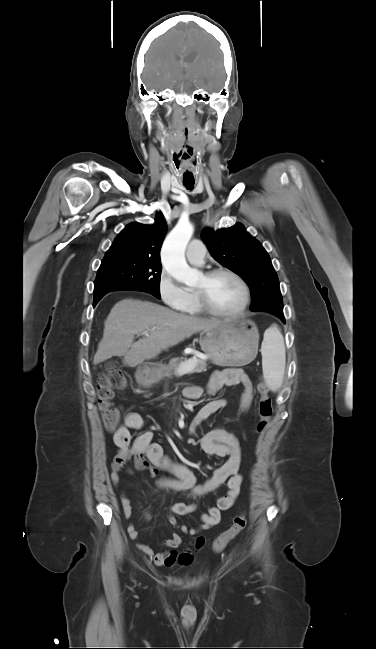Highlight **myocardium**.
Instances as JSON below:
<instances>
[{
	"label": "myocardium",
	"mask_w": 376,
	"mask_h": 649,
	"mask_svg": "<svg viewBox=\"0 0 376 649\" xmlns=\"http://www.w3.org/2000/svg\"><path fill=\"white\" fill-rule=\"evenodd\" d=\"M219 274L230 275L231 277H233L239 283V285L241 286L242 292H243V300H242L241 305L236 310L231 311V312H225V311L218 310V309H216L215 307H213L211 305V303L209 302V300L207 298L206 292H205V290L203 288L195 289V294H196V297L198 299V302H199L201 308L208 314H211V315L217 316V317H222V318H237V317L241 316L245 312V310L247 309V307L249 305V301H250V289H249V286H248L247 282L243 279V277L240 274H238L234 270H232L230 268H226V267H218V268L208 270L203 274V277L206 280H209V279H211V278H213V277H215V276H217Z\"/></svg>",
	"instance_id": "myocardium-1"
}]
</instances>
